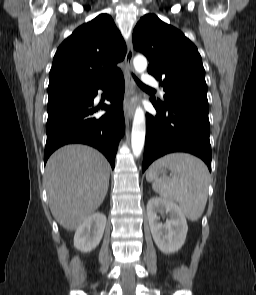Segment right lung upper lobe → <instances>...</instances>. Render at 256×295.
<instances>
[{"label":"right lung upper lobe","mask_w":256,"mask_h":295,"mask_svg":"<svg viewBox=\"0 0 256 295\" xmlns=\"http://www.w3.org/2000/svg\"><path fill=\"white\" fill-rule=\"evenodd\" d=\"M125 42L113 19L100 14L78 27L57 49L49 73L48 95H62L107 81L121 71Z\"/></svg>","instance_id":"cb5924a9"}]
</instances>
